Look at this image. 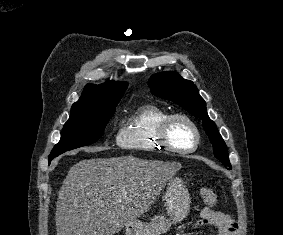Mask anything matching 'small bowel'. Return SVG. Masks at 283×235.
<instances>
[{
	"label": "small bowel",
	"instance_id": "obj_1",
	"mask_svg": "<svg viewBox=\"0 0 283 235\" xmlns=\"http://www.w3.org/2000/svg\"><path fill=\"white\" fill-rule=\"evenodd\" d=\"M198 226L212 225L218 229V235H235L238 224L232 217L205 208L201 211Z\"/></svg>",
	"mask_w": 283,
	"mask_h": 235
}]
</instances>
